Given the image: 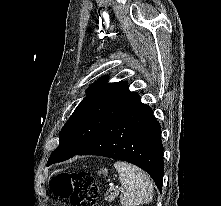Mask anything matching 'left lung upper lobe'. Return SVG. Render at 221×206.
Wrapping results in <instances>:
<instances>
[{
	"label": "left lung upper lobe",
	"mask_w": 221,
	"mask_h": 206,
	"mask_svg": "<svg viewBox=\"0 0 221 206\" xmlns=\"http://www.w3.org/2000/svg\"><path fill=\"white\" fill-rule=\"evenodd\" d=\"M102 77L87 90V96L60 132L59 146L47 166L74 156L102 133L139 95L128 90L127 82L106 83Z\"/></svg>",
	"instance_id": "1"
}]
</instances>
